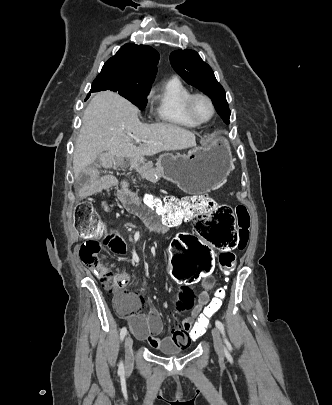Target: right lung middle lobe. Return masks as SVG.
Returning <instances> with one entry per match:
<instances>
[{"mask_svg": "<svg viewBox=\"0 0 332 405\" xmlns=\"http://www.w3.org/2000/svg\"><path fill=\"white\" fill-rule=\"evenodd\" d=\"M151 83V81H138L116 73H100L93 81L90 92L102 90L118 92L142 110L146 106Z\"/></svg>", "mask_w": 332, "mask_h": 405, "instance_id": "right-lung-middle-lobe-1", "label": "right lung middle lobe"}]
</instances>
